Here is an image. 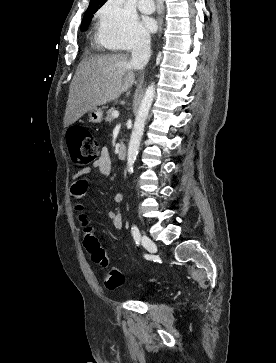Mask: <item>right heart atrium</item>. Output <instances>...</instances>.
Masks as SVG:
<instances>
[{
  "instance_id": "obj_1",
  "label": "right heart atrium",
  "mask_w": 276,
  "mask_h": 363,
  "mask_svg": "<svg viewBox=\"0 0 276 363\" xmlns=\"http://www.w3.org/2000/svg\"><path fill=\"white\" fill-rule=\"evenodd\" d=\"M100 39L118 49H131L148 42V34L135 11L124 0H108L98 13Z\"/></svg>"
}]
</instances>
